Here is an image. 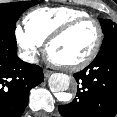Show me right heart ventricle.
Segmentation results:
<instances>
[{"label": "right heart ventricle", "instance_id": "right-heart-ventricle-1", "mask_svg": "<svg viewBox=\"0 0 117 117\" xmlns=\"http://www.w3.org/2000/svg\"><path fill=\"white\" fill-rule=\"evenodd\" d=\"M85 16H88L85 11L72 7H41L31 11L25 17V30L42 44L67 22Z\"/></svg>", "mask_w": 117, "mask_h": 117}]
</instances>
